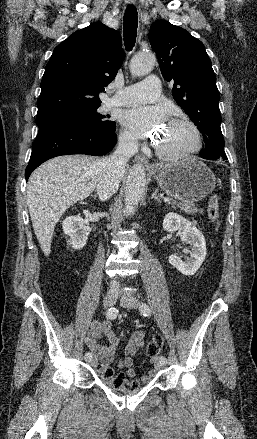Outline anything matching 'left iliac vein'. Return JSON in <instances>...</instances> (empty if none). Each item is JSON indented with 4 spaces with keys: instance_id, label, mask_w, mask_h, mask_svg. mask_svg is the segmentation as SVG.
Here are the masks:
<instances>
[{
    "instance_id": "left-iliac-vein-1",
    "label": "left iliac vein",
    "mask_w": 257,
    "mask_h": 439,
    "mask_svg": "<svg viewBox=\"0 0 257 439\" xmlns=\"http://www.w3.org/2000/svg\"><path fill=\"white\" fill-rule=\"evenodd\" d=\"M120 304L124 307L135 309V308H138V306H139V300L136 298L129 297V296H122L120 299ZM165 365H166V363L159 362L157 367H158V369H161Z\"/></svg>"
}]
</instances>
